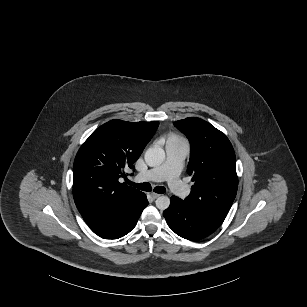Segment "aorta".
Wrapping results in <instances>:
<instances>
[{"label":"aorta","instance_id":"aorta-1","mask_svg":"<svg viewBox=\"0 0 307 307\" xmlns=\"http://www.w3.org/2000/svg\"><path fill=\"white\" fill-rule=\"evenodd\" d=\"M145 161L151 166L161 165L166 158L165 150L161 147H150L145 153ZM170 205V199L167 196H160L156 200V206L159 210H166Z\"/></svg>","mask_w":307,"mask_h":307}]
</instances>
